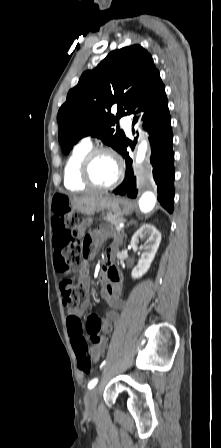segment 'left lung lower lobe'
Segmentation results:
<instances>
[{"label": "left lung lower lobe", "mask_w": 221, "mask_h": 448, "mask_svg": "<svg viewBox=\"0 0 221 448\" xmlns=\"http://www.w3.org/2000/svg\"><path fill=\"white\" fill-rule=\"evenodd\" d=\"M139 111L145 114L144 129L148 131L151 144L150 162L153 167V177L158 186V201L169 212L174 208V152L172 149L173 134L168 100L165 87L152 93L142 104ZM136 122L134 118L133 123ZM126 141L119 152L126 159V177L122 184L113 192L130 198L137 196L135 177L131 170L132 160L126 152Z\"/></svg>", "instance_id": "left-lung-lower-lobe-1"}]
</instances>
